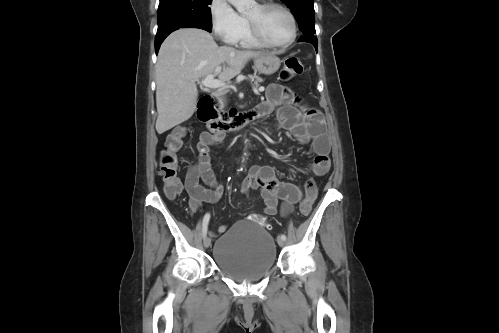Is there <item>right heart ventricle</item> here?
Here are the masks:
<instances>
[{
	"mask_svg": "<svg viewBox=\"0 0 499 333\" xmlns=\"http://www.w3.org/2000/svg\"><path fill=\"white\" fill-rule=\"evenodd\" d=\"M245 48H262L260 43H258L251 35L248 24L246 23L242 33L240 34L238 40L235 42Z\"/></svg>",
	"mask_w": 499,
	"mask_h": 333,
	"instance_id": "obj_1",
	"label": "right heart ventricle"
}]
</instances>
